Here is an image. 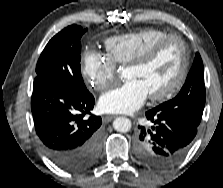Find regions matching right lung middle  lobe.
<instances>
[{
    "label": "right lung middle lobe",
    "instance_id": "dd1d6c3e",
    "mask_svg": "<svg viewBox=\"0 0 223 188\" xmlns=\"http://www.w3.org/2000/svg\"><path fill=\"white\" fill-rule=\"evenodd\" d=\"M86 30L74 24L48 42L37 62L34 83L61 87L79 95L89 93L80 69V39Z\"/></svg>",
    "mask_w": 223,
    "mask_h": 188
}]
</instances>
